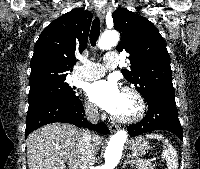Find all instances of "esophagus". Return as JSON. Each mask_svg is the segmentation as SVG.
<instances>
[{
	"mask_svg": "<svg viewBox=\"0 0 200 169\" xmlns=\"http://www.w3.org/2000/svg\"><path fill=\"white\" fill-rule=\"evenodd\" d=\"M98 17H99L101 22H104V19H105V10L104 9H100L98 11ZM109 129H110L111 133H114L118 129V125L117 124H111L109 126Z\"/></svg>",
	"mask_w": 200,
	"mask_h": 169,
	"instance_id": "34e87169",
	"label": "esophagus"
}]
</instances>
